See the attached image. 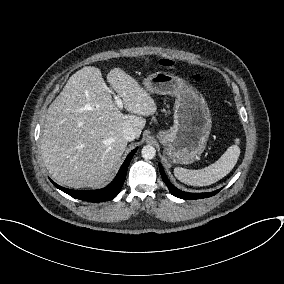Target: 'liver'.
Here are the masks:
<instances>
[{"mask_svg": "<svg viewBox=\"0 0 284 284\" xmlns=\"http://www.w3.org/2000/svg\"><path fill=\"white\" fill-rule=\"evenodd\" d=\"M107 81L131 114L121 113L101 70L91 66L74 73L47 110L41 156L60 184L75 189L103 186L127 147L124 129H134L139 138L144 117L157 110L150 94L121 68L110 70Z\"/></svg>", "mask_w": 284, "mask_h": 284, "instance_id": "liver-1", "label": "liver"}]
</instances>
